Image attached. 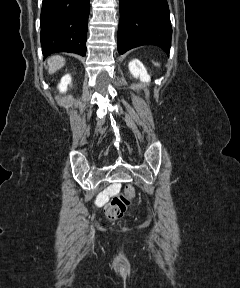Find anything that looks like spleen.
<instances>
[{"instance_id": "3e777b00", "label": "spleen", "mask_w": 240, "mask_h": 288, "mask_svg": "<svg viewBox=\"0 0 240 288\" xmlns=\"http://www.w3.org/2000/svg\"><path fill=\"white\" fill-rule=\"evenodd\" d=\"M155 65L159 66V64H158V63H155Z\"/></svg>"}]
</instances>
